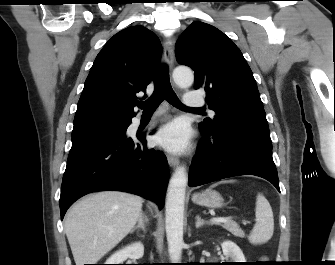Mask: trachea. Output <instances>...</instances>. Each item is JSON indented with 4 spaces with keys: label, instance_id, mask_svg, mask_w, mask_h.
<instances>
[{
    "label": "trachea",
    "instance_id": "trachea-1",
    "mask_svg": "<svg viewBox=\"0 0 335 265\" xmlns=\"http://www.w3.org/2000/svg\"><path fill=\"white\" fill-rule=\"evenodd\" d=\"M166 99L170 104L180 108L188 110L178 99L177 95L173 91L169 79V69L167 65L163 64L160 66L155 80H154V92L150 98L144 102L138 103V107L143 109L144 113L154 112L161 102ZM194 110L201 111L198 108Z\"/></svg>",
    "mask_w": 335,
    "mask_h": 265
}]
</instances>
